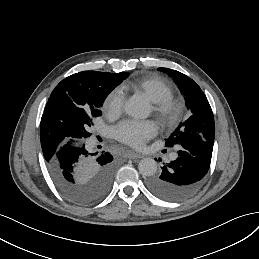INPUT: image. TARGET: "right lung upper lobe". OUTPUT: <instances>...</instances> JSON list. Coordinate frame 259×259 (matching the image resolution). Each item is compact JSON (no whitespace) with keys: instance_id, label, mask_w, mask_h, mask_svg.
<instances>
[{"instance_id":"obj_1","label":"right lung upper lobe","mask_w":259,"mask_h":259,"mask_svg":"<svg viewBox=\"0 0 259 259\" xmlns=\"http://www.w3.org/2000/svg\"><path fill=\"white\" fill-rule=\"evenodd\" d=\"M123 73L79 72L65 78L55 87L40 123L41 147L47 162L65 144L63 130L87 105L90 91L101 83H106L113 76H121Z\"/></svg>"}]
</instances>
